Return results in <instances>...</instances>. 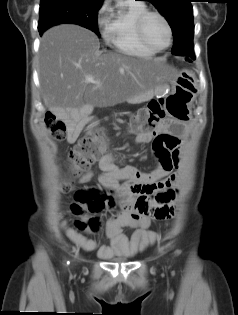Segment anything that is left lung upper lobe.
I'll use <instances>...</instances> for the list:
<instances>
[{
    "label": "left lung upper lobe",
    "instance_id": "5c2ea615",
    "mask_svg": "<svg viewBox=\"0 0 238 315\" xmlns=\"http://www.w3.org/2000/svg\"><path fill=\"white\" fill-rule=\"evenodd\" d=\"M165 16L173 37L182 35L193 43L194 25L193 10L190 0H147Z\"/></svg>",
    "mask_w": 238,
    "mask_h": 315
}]
</instances>
